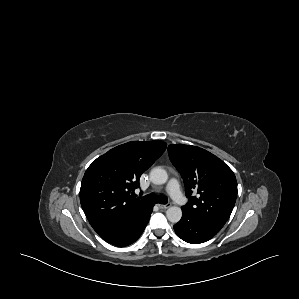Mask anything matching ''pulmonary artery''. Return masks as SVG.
Here are the masks:
<instances>
[{
  "mask_svg": "<svg viewBox=\"0 0 299 299\" xmlns=\"http://www.w3.org/2000/svg\"><path fill=\"white\" fill-rule=\"evenodd\" d=\"M167 191L176 203H178L180 205L185 203V199L180 190L179 182L175 178H172L168 182Z\"/></svg>",
  "mask_w": 299,
  "mask_h": 299,
  "instance_id": "obj_1",
  "label": "pulmonary artery"
}]
</instances>
